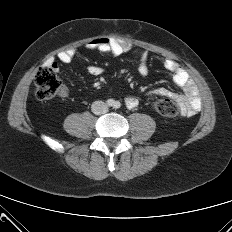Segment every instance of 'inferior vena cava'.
Returning a JSON list of instances; mask_svg holds the SVG:
<instances>
[{"label":"inferior vena cava","instance_id":"inferior-vena-cava-1","mask_svg":"<svg viewBox=\"0 0 232 232\" xmlns=\"http://www.w3.org/2000/svg\"><path fill=\"white\" fill-rule=\"evenodd\" d=\"M91 110L95 115H101L108 111V106L105 102L98 100L92 103Z\"/></svg>","mask_w":232,"mask_h":232}]
</instances>
